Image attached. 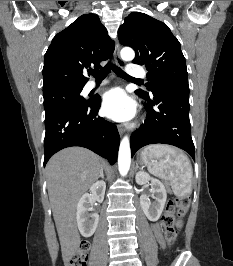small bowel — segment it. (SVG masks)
I'll return each instance as SVG.
<instances>
[{
    "label": "small bowel",
    "instance_id": "obj_1",
    "mask_svg": "<svg viewBox=\"0 0 233 266\" xmlns=\"http://www.w3.org/2000/svg\"><path fill=\"white\" fill-rule=\"evenodd\" d=\"M153 229H154V233H155L157 240L161 243L162 242V232H161L160 226L158 224H155L153 226Z\"/></svg>",
    "mask_w": 233,
    "mask_h": 266
}]
</instances>
